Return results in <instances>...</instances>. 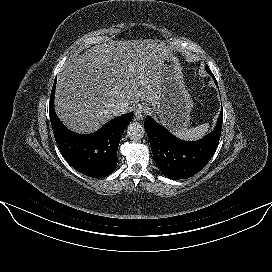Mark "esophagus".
<instances>
[{
    "instance_id": "esophagus-1",
    "label": "esophagus",
    "mask_w": 272,
    "mask_h": 272,
    "mask_svg": "<svg viewBox=\"0 0 272 272\" xmlns=\"http://www.w3.org/2000/svg\"><path fill=\"white\" fill-rule=\"evenodd\" d=\"M146 113L147 107L144 105H139L134 112L135 120H142L145 117Z\"/></svg>"
}]
</instances>
